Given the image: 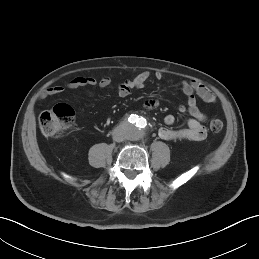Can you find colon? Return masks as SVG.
Masks as SVG:
<instances>
[{
  "label": "colon",
  "instance_id": "5ec220e1",
  "mask_svg": "<svg viewBox=\"0 0 259 259\" xmlns=\"http://www.w3.org/2000/svg\"><path fill=\"white\" fill-rule=\"evenodd\" d=\"M74 121V110L69 105L61 103L40 115L39 127L44 136L58 138L73 126ZM209 127L212 132L218 133L224 125L221 120L213 119Z\"/></svg>",
  "mask_w": 259,
  "mask_h": 259
}]
</instances>
